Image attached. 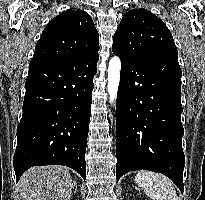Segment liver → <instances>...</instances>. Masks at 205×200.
<instances>
[{
  "mask_svg": "<svg viewBox=\"0 0 205 200\" xmlns=\"http://www.w3.org/2000/svg\"><path fill=\"white\" fill-rule=\"evenodd\" d=\"M73 187L68 168L50 165L28 169L17 189L21 200H70Z\"/></svg>",
  "mask_w": 205,
  "mask_h": 200,
  "instance_id": "1",
  "label": "liver"
}]
</instances>
